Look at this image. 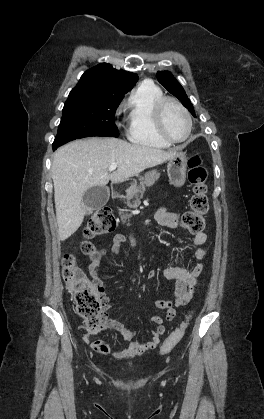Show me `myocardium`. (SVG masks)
<instances>
[{
    "mask_svg": "<svg viewBox=\"0 0 264 419\" xmlns=\"http://www.w3.org/2000/svg\"><path fill=\"white\" fill-rule=\"evenodd\" d=\"M169 104H173L176 107H178L182 111L184 116L186 117L187 124H188V130H187V133H186L185 137L182 138V139H175V138L171 137L165 130V127H164V111H165L167 105H169ZM154 124H155L156 132L159 135V137L161 139H163L164 141L170 143V144H178V143L185 142L190 137L191 132H192V126H193L191 115L188 112V110L185 108V106L181 102H179L177 99L172 98V97H168V96H163L155 104V107H154Z\"/></svg>",
    "mask_w": 264,
    "mask_h": 419,
    "instance_id": "f54148a6",
    "label": "myocardium"
}]
</instances>
